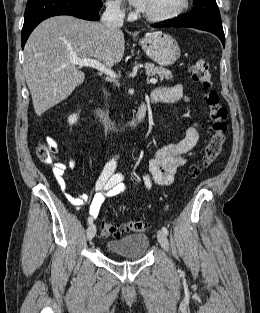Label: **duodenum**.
Returning a JSON list of instances; mask_svg holds the SVG:
<instances>
[{
	"label": "duodenum",
	"instance_id": "duodenum-1",
	"mask_svg": "<svg viewBox=\"0 0 260 313\" xmlns=\"http://www.w3.org/2000/svg\"><path fill=\"white\" fill-rule=\"evenodd\" d=\"M151 102V100L144 101L139 106L136 117L132 121L127 123L116 122L104 110L94 106L91 101L88 102V107L97 120L111 126L116 131L120 133H135L141 128L147 114L148 106Z\"/></svg>",
	"mask_w": 260,
	"mask_h": 313
}]
</instances>
